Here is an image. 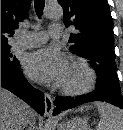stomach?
Instances as JSON below:
<instances>
[{"instance_id": "obj_1", "label": "stomach", "mask_w": 123, "mask_h": 130, "mask_svg": "<svg viewBox=\"0 0 123 130\" xmlns=\"http://www.w3.org/2000/svg\"><path fill=\"white\" fill-rule=\"evenodd\" d=\"M58 130H90L88 122L84 118H73L57 125Z\"/></svg>"}]
</instances>
